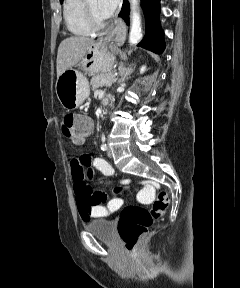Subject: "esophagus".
Wrapping results in <instances>:
<instances>
[{"label":"esophagus","instance_id":"obj_1","mask_svg":"<svg viewBox=\"0 0 240 288\" xmlns=\"http://www.w3.org/2000/svg\"><path fill=\"white\" fill-rule=\"evenodd\" d=\"M118 23V20H116L115 22H114V24L116 25Z\"/></svg>","mask_w":240,"mask_h":288}]
</instances>
